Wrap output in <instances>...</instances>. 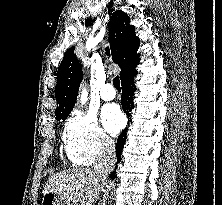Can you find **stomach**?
<instances>
[{
  "label": "stomach",
  "mask_w": 222,
  "mask_h": 205,
  "mask_svg": "<svg viewBox=\"0 0 222 205\" xmlns=\"http://www.w3.org/2000/svg\"><path fill=\"white\" fill-rule=\"evenodd\" d=\"M42 205H66V201L62 200L57 194L48 192L43 195Z\"/></svg>",
  "instance_id": "1"
}]
</instances>
